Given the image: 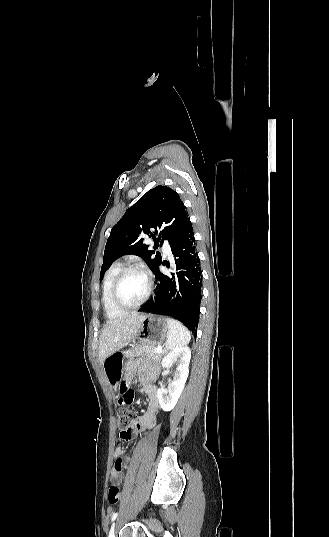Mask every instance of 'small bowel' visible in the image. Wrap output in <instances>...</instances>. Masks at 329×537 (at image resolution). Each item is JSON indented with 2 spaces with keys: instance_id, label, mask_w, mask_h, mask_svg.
<instances>
[{
  "instance_id": "c3829d8e",
  "label": "small bowel",
  "mask_w": 329,
  "mask_h": 537,
  "mask_svg": "<svg viewBox=\"0 0 329 537\" xmlns=\"http://www.w3.org/2000/svg\"><path fill=\"white\" fill-rule=\"evenodd\" d=\"M156 375V371L143 366L139 363L130 362L126 367V377H121L118 390L120 392L119 403L121 405L130 406L134 402L136 396L133 390L134 381L132 378L138 376L143 383V392L148 396L147 411L136 421L129 433L122 430L119 433L123 441L130 442L137 436L142 435L147 429L152 428L156 423V414L159 409L158 391L155 386L150 384V380ZM125 450L121 446H117L114 450V466L111 471V480L121 483L124 478L123 469L130 462V458L124 456Z\"/></svg>"
}]
</instances>
